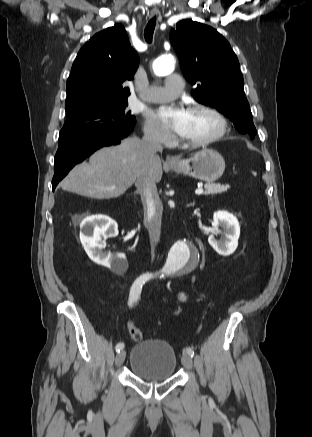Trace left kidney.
Masks as SVG:
<instances>
[{"instance_id":"5707ae66","label":"left kidney","mask_w":312,"mask_h":437,"mask_svg":"<svg viewBox=\"0 0 312 437\" xmlns=\"http://www.w3.org/2000/svg\"><path fill=\"white\" fill-rule=\"evenodd\" d=\"M213 234L209 236L208 242L213 249L222 256H228L234 253L238 246L240 236V226L237 218L227 211H217L213 215ZM223 229V236L220 240L215 235Z\"/></svg>"}]
</instances>
